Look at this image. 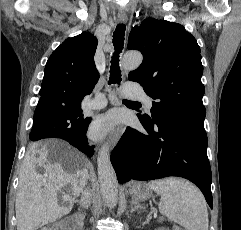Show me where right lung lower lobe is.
<instances>
[{
    "instance_id": "right-lung-lower-lobe-1",
    "label": "right lung lower lobe",
    "mask_w": 241,
    "mask_h": 230,
    "mask_svg": "<svg viewBox=\"0 0 241 230\" xmlns=\"http://www.w3.org/2000/svg\"><path fill=\"white\" fill-rule=\"evenodd\" d=\"M36 115H39L41 113H37L35 110ZM90 123V120H89ZM89 123L81 130L79 133H60V132H55L52 133L51 135L55 138H61L63 140H66L69 142L71 145L74 147L78 148L81 152L85 153L87 156L91 157L94 154L93 147L88 145V140L86 137V132L88 129ZM41 127L37 124L33 123V127L31 130V133H38L40 131Z\"/></svg>"
}]
</instances>
